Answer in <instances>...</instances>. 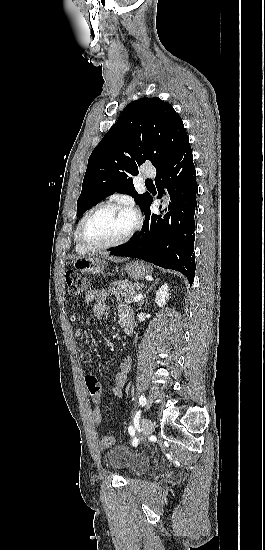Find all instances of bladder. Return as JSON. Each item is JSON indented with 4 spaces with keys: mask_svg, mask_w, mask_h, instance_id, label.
Returning <instances> with one entry per match:
<instances>
[{
    "mask_svg": "<svg viewBox=\"0 0 265 550\" xmlns=\"http://www.w3.org/2000/svg\"><path fill=\"white\" fill-rule=\"evenodd\" d=\"M106 459L112 468L126 470L132 475L142 474L148 466L146 457L123 446L110 449L106 454Z\"/></svg>",
    "mask_w": 265,
    "mask_h": 550,
    "instance_id": "obj_1",
    "label": "bladder"
}]
</instances>
